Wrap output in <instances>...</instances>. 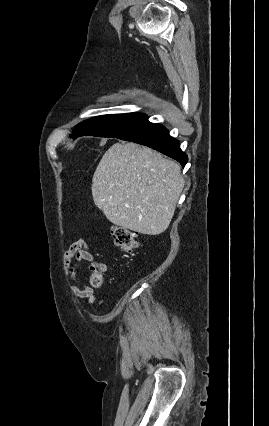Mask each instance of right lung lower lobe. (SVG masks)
Segmentation results:
<instances>
[{
  "instance_id": "obj_1",
  "label": "right lung lower lobe",
  "mask_w": 269,
  "mask_h": 426,
  "mask_svg": "<svg viewBox=\"0 0 269 426\" xmlns=\"http://www.w3.org/2000/svg\"><path fill=\"white\" fill-rule=\"evenodd\" d=\"M119 139L153 148L177 160L183 167L188 161L187 155L180 149L179 141L171 137L164 126L150 123L147 119L133 131L119 137Z\"/></svg>"
}]
</instances>
